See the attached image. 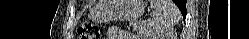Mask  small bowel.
Segmentation results:
<instances>
[{"instance_id": "1", "label": "small bowel", "mask_w": 249, "mask_h": 39, "mask_svg": "<svg viewBox=\"0 0 249 39\" xmlns=\"http://www.w3.org/2000/svg\"><path fill=\"white\" fill-rule=\"evenodd\" d=\"M108 35L112 38H130L132 35L124 29L111 27L108 29Z\"/></svg>"}]
</instances>
